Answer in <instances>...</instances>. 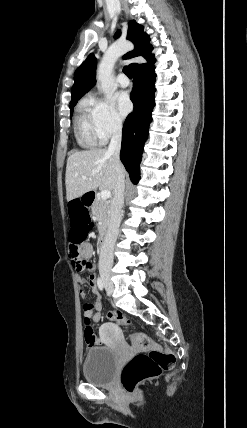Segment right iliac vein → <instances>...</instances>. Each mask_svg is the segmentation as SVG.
I'll return each instance as SVG.
<instances>
[{"label": "right iliac vein", "instance_id": "1", "mask_svg": "<svg viewBox=\"0 0 247 428\" xmlns=\"http://www.w3.org/2000/svg\"><path fill=\"white\" fill-rule=\"evenodd\" d=\"M101 278L103 280V283L105 285L106 290L109 293L113 292L114 286L113 283L110 280V274L106 270L101 271Z\"/></svg>", "mask_w": 247, "mask_h": 428}]
</instances>
